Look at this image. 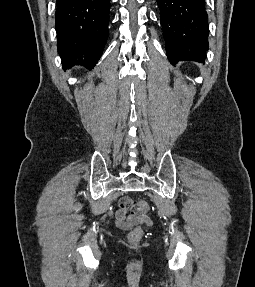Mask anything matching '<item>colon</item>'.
Here are the masks:
<instances>
[{
    "instance_id": "colon-1",
    "label": "colon",
    "mask_w": 255,
    "mask_h": 287,
    "mask_svg": "<svg viewBox=\"0 0 255 287\" xmlns=\"http://www.w3.org/2000/svg\"><path fill=\"white\" fill-rule=\"evenodd\" d=\"M138 209L143 215H146L149 210V206L145 201H139ZM142 235H143L142 229L140 227H137L129 232L128 240L131 243H136L141 239Z\"/></svg>"
}]
</instances>
